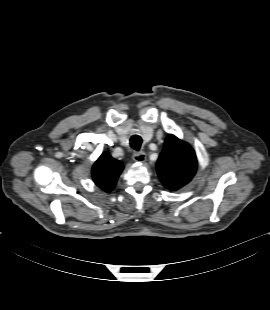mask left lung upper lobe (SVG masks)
Returning <instances> with one entry per match:
<instances>
[{"label": "left lung upper lobe", "instance_id": "1", "mask_svg": "<svg viewBox=\"0 0 270 310\" xmlns=\"http://www.w3.org/2000/svg\"><path fill=\"white\" fill-rule=\"evenodd\" d=\"M197 159L190 145L174 135H169L157 161V172L163 185L178 190L193 178Z\"/></svg>", "mask_w": 270, "mask_h": 310}]
</instances>
